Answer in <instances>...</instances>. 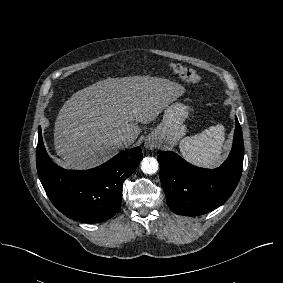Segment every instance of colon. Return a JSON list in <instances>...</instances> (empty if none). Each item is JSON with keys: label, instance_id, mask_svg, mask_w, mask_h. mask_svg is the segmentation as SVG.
Returning a JSON list of instances; mask_svg holds the SVG:
<instances>
[{"label": "colon", "instance_id": "obj_1", "mask_svg": "<svg viewBox=\"0 0 283 283\" xmlns=\"http://www.w3.org/2000/svg\"><path fill=\"white\" fill-rule=\"evenodd\" d=\"M169 66L184 80L194 85H200L202 83L201 76L194 69L184 66L180 63H170Z\"/></svg>", "mask_w": 283, "mask_h": 283}]
</instances>
